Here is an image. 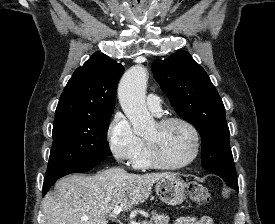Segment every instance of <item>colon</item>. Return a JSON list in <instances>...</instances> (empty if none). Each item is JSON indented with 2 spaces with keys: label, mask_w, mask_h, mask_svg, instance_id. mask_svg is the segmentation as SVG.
I'll return each mask as SVG.
<instances>
[{
  "label": "colon",
  "mask_w": 275,
  "mask_h": 224,
  "mask_svg": "<svg viewBox=\"0 0 275 224\" xmlns=\"http://www.w3.org/2000/svg\"><path fill=\"white\" fill-rule=\"evenodd\" d=\"M188 192L191 201L196 205L205 204L210 200L209 190L198 182H190Z\"/></svg>",
  "instance_id": "obj_1"
}]
</instances>
